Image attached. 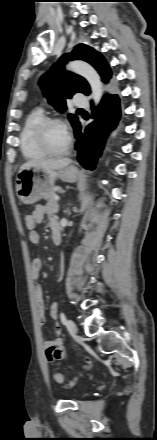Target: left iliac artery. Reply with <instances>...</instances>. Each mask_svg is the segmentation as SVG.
Wrapping results in <instances>:
<instances>
[{
	"label": "left iliac artery",
	"instance_id": "left-iliac-artery-1",
	"mask_svg": "<svg viewBox=\"0 0 157 440\" xmlns=\"http://www.w3.org/2000/svg\"><path fill=\"white\" fill-rule=\"evenodd\" d=\"M60 319H61V322L63 325H65V326L68 325L67 317L63 312L60 313Z\"/></svg>",
	"mask_w": 157,
	"mask_h": 440
}]
</instances>
